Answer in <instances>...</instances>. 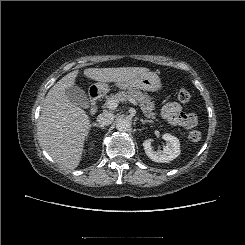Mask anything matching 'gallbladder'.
Returning a JSON list of instances; mask_svg holds the SVG:
<instances>
[{
    "label": "gallbladder",
    "mask_w": 245,
    "mask_h": 245,
    "mask_svg": "<svg viewBox=\"0 0 245 245\" xmlns=\"http://www.w3.org/2000/svg\"><path fill=\"white\" fill-rule=\"evenodd\" d=\"M65 92H66L68 99L72 103H74V104H76V105H78L84 109L89 108L88 96L86 95L85 91L82 90L80 87L71 86V87L66 88Z\"/></svg>",
    "instance_id": "1"
}]
</instances>
